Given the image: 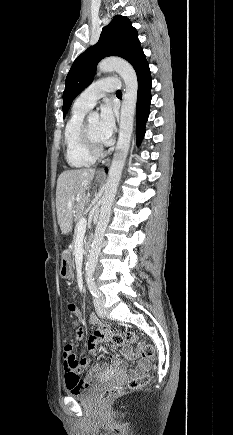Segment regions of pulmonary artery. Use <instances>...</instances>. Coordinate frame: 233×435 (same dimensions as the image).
Wrapping results in <instances>:
<instances>
[{
  "label": "pulmonary artery",
  "mask_w": 233,
  "mask_h": 435,
  "mask_svg": "<svg viewBox=\"0 0 233 435\" xmlns=\"http://www.w3.org/2000/svg\"><path fill=\"white\" fill-rule=\"evenodd\" d=\"M119 80L115 78H103L85 89L75 100V106L85 110L91 109L96 102L108 92H117Z\"/></svg>",
  "instance_id": "pulmonary-artery-1"
}]
</instances>
